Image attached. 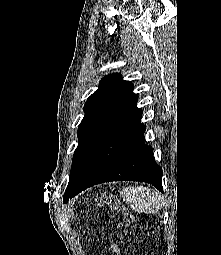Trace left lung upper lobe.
Segmentation results:
<instances>
[{"instance_id": "obj_1", "label": "left lung upper lobe", "mask_w": 221, "mask_h": 255, "mask_svg": "<svg viewBox=\"0 0 221 255\" xmlns=\"http://www.w3.org/2000/svg\"><path fill=\"white\" fill-rule=\"evenodd\" d=\"M133 87L119 73L110 74L101 80L100 87L87 99L85 115L78 128V146L73 155L64 203L97 147L137 107L138 96L133 93Z\"/></svg>"}]
</instances>
